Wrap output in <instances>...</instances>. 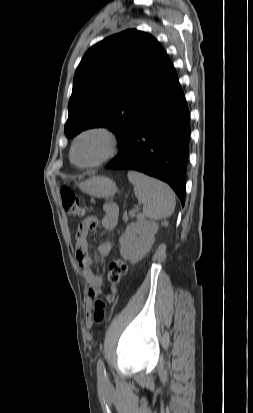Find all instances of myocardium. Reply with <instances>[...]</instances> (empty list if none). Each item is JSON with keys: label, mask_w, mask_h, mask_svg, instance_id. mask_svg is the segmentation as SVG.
I'll list each match as a JSON object with an SVG mask.
<instances>
[{"label": "myocardium", "mask_w": 253, "mask_h": 413, "mask_svg": "<svg viewBox=\"0 0 253 413\" xmlns=\"http://www.w3.org/2000/svg\"><path fill=\"white\" fill-rule=\"evenodd\" d=\"M89 135H95L101 137L105 142V148L103 153L98 159L88 164H81L75 160L74 153L77 146V143L84 137ZM118 140L115 133L105 126H92L80 131L73 139L71 148H70V159L74 165L80 168H93L103 163L107 162L113 158L118 151Z\"/></svg>", "instance_id": "obj_1"}]
</instances>
